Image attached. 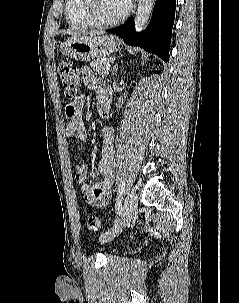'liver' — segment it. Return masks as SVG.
Here are the masks:
<instances>
[{
  "instance_id": "6515ba94",
  "label": "liver",
  "mask_w": 239,
  "mask_h": 303,
  "mask_svg": "<svg viewBox=\"0 0 239 303\" xmlns=\"http://www.w3.org/2000/svg\"><path fill=\"white\" fill-rule=\"evenodd\" d=\"M67 34H69V35H72L73 37H77V36H87L88 34H90L91 36H94V35H98V34H101V33H99V32H89V33H75V32H66Z\"/></svg>"
}]
</instances>
